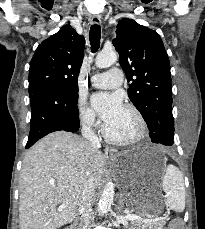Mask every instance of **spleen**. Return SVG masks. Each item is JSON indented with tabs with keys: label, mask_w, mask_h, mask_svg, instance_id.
I'll use <instances>...</instances> for the list:
<instances>
[{
	"label": "spleen",
	"mask_w": 205,
	"mask_h": 229,
	"mask_svg": "<svg viewBox=\"0 0 205 229\" xmlns=\"http://www.w3.org/2000/svg\"><path fill=\"white\" fill-rule=\"evenodd\" d=\"M162 188L166 193V204L176 212L185 209V187L181 171L174 165L169 164L162 180Z\"/></svg>",
	"instance_id": "spleen-1"
}]
</instances>
